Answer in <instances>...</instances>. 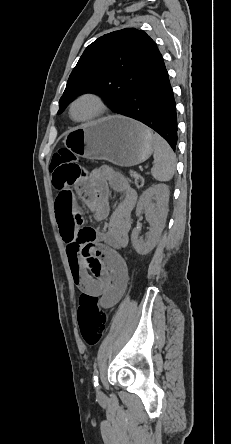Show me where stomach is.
I'll list each match as a JSON object with an SVG mask.
<instances>
[{"mask_svg": "<svg viewBox=\"0 0 231 444\" xmlns=\"http://www.w3.org/2000/svg\"><path fill=\"white\" fill-rule=\"evenodd\" d=\"M153 136L143 124L114 115L70 130L63 142L76 156L130 167L152 154Z\"/></svg>", "mask_w": 231, "mask_h": 444, "instance_id": "obj_1", "label": "stomach"}]
</instances>
